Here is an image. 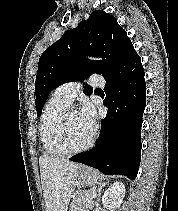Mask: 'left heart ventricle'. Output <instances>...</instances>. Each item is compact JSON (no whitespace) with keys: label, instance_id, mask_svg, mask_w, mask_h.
Listing matches in <instances>:
<instances>
[{"label":"left heart ventricle","instance_id":"b2bd125f","mask_svg":"<svg viewBox=\"0 0 178 211\" xmlns=\"http://www.w3.org/2000/svg\"><path fill=\"white\" fill-rule=\"evenodd\" d=\"M93 129L80 118L78 112H71L68 118V142L71 148H80L91 138Z\"/></svg>","mask_w":178,"mask_h":211}]
</instances>
